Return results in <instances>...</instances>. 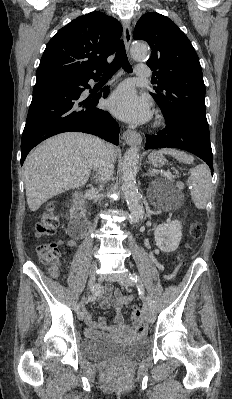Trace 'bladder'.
<instances>
[{
    "label": "bladder",
    "instance_id": "31cf9c89",
    "mask_svg": "<svg viewBox=\"0 0 232 399\" xmlns=\"http://www.w3.org/2000/svg\"><path fill=\"white\" fill-rule=\"evenodd\" d=\"M148 350L149 344L145 339L130 343H111L95 338H86L79 344L80 355L90 360L138 358L145 355Z\"/></svg>",
    "mask_w": 232,
    "mask_h": 399
}]
</instances>
